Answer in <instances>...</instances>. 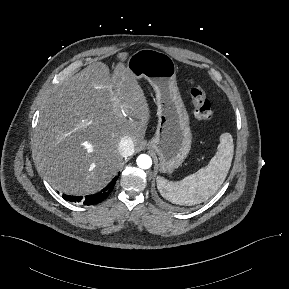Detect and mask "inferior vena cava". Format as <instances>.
<instances>
[{"instance_id":"1","label":"inferior vena cava","mask_w":289,"mask_h":289,"mask_svg":"<svg viewBox=\"0 0 289 289\" xmlns=\"http://www.w3.org/2000/svg\"><path fill=\"white\" fill-rule=\"evenodd\" d=\"M119 152L123 157H128L134 153V144L129 136H124L120 140Z\"/></svg>"}]
</instances>
